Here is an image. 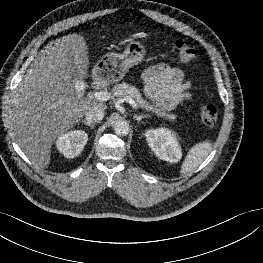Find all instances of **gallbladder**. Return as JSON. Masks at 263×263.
<instances>
[{"label":"gallbladder","instance_id":"obj_1","mask_svg":"<svg viewBox=\"0 0 263 263\" xmlns=\"http://www.w3.org/2000/svg\"><path fill=\"white\" fill-rule=\"evenodd\" d=\"M69 59L71 60L72 57L69 56ZM69 78H70V81H71V83H72L73 85L76 84V83L79 81V76H78L76 73H73V72H71V73L69 74Z\"/></svg>","mask_w":263,"mask_h":263}]
</instances>
